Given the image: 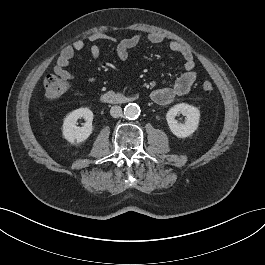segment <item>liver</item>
Instances as JSON below:
<instances>
[{"label":"liver","instance_id":"liver-1","mask_svg":"<svg viewBox=\"0 0 265 265\" xmlns=\"http://www.w3.org/2000/svg\"><path fill=\"white\" fill-rule=\"evenodd\" d=\"M40 117L42 118V113L40 112Z\"/></svg>","mask_w":265,"mask_h":265}]
</instances>
